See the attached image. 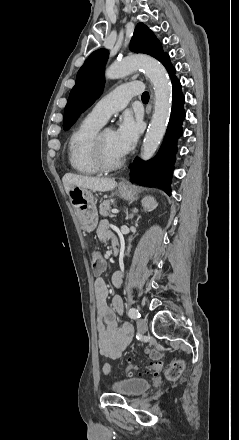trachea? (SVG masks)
<instances>
[{"instance_id":"obj_1","label":"trachea","mask_w":239,"mask_h":440,"mask_svg":"<svg viewBox=\"0 0 239 440\" xmlns=\"http://www.w3.org/2000/svg\"><path fill=\"white\" fill-rule=\"evenodd\" d=\"M142 100L144 101V102H146L147 103V101L149 100V93L148 92H144L143 94H142Z\"/></svg>"}]
</instances>
